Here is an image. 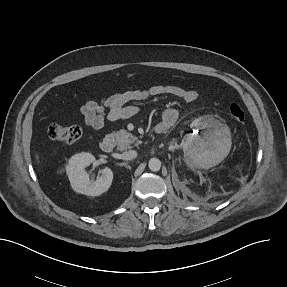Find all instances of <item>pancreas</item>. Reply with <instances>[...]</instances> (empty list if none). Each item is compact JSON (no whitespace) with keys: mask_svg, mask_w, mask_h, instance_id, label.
Instances as JSON below:
<instances>
[{"mask_svg":"<svg viewBox=\"0 0 287 287\" xmlns=\"http://www.w3.org/2000/svg\"><path fill=\"white\" fill-rule=\"evenodd\" d=\"M111 137L115 140L118 150L122 151L132 148V144L138 145L137 138L126 130H119L111 133Z\"/></svg>","mask_w":287,"mask_h":287,"instance_id":"cf45deb5","label":"pancreas"}]
</instances>
